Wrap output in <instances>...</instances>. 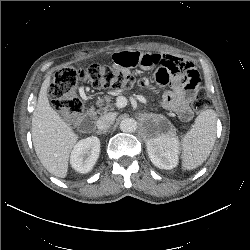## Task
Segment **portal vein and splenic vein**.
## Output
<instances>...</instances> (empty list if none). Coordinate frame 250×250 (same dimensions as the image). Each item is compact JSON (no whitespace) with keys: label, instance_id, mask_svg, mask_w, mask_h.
<instances>
[{"label":"portal vein and splenic vein","instance_id":"portal-vein-and-splenic-vein-1","mask_svg":"<svg viewBox=\"0 0 250 250\" xmlns=\"http://www.w3.org/2000/svg\"><path fill=\"white\" fill-rule=\"evenodd\" d=\"M127 102L128 100L126 99V97L124 96H119L117 99H116V107L117 108H123L127 105Z\"/></svg>","mask_w":250,"mask_h":250}]
</instances>
